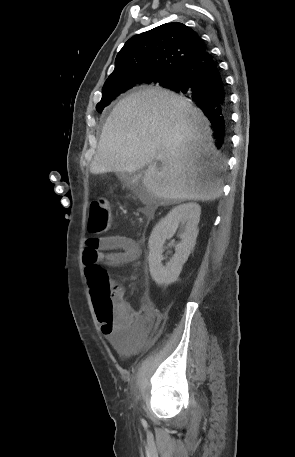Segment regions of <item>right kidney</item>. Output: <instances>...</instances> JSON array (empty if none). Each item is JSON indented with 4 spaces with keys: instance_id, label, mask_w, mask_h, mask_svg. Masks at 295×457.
I'll use <instances>...</instances> for the list:
<instances>
[{
    "instance_id": "obj_1",
    "label": "right kidney",
    "mask_w": 295,
    "mask_h": 457,
    "mask_svg": "<svg viewBox=\"0 0 295 457\" xmlns=\"http://www.w3.org/2000/svg\"><path fill=\"white\" fill-rule=\"evenodd\" d=\"M201 208L196 203H185L173 208L153 229L149 238V269L158 285L175 282L196 244ZM181 226V242L175 247V254L166 264H162L163 244L172 238Z\"/></svg>"
}]
</instances>
